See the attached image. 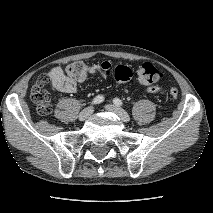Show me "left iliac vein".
I'll list each match as a JSON object with an SVG mask.
<instances>
[{"label":"left iliac vein","mask_w":213,"mask_h":213,"mask_svg":"<svg viewBox=\"0 0 213 213\" xmlns=\"http://www.w3.org/2000/svg\"><path fill=\"white\" fill-rule=\"evenodd\" d=\"M106 110L115 113L116 115H118V117L123 121V122H128L130 121V116L128 115V113L123 110L122 108L116 106V105H106L105 106Z\"/></svg>","instance_id":"4c4485c4"}]
</instances>
